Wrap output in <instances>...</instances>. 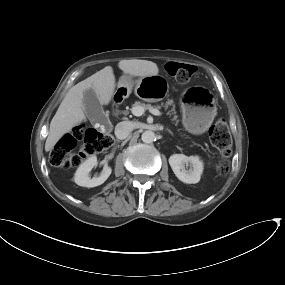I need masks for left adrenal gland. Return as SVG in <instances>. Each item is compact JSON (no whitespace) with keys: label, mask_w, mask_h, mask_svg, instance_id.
<instances>
[{"label":"left adrenal gland","mask_w":285,"mask_h":285,"mask_svg":"<svg viewBox=\"0 0 285 285\" xmlns=\"http://www.w3.org/2000/svg\"><path fill=\"white\" fill-rule=\"evenodd\" d=\"M168 132H169L170 134H172V132H171L170 130H168Z\"/></svg>","instance_id":"left-adrenal-gland-1"}]
</instances>
